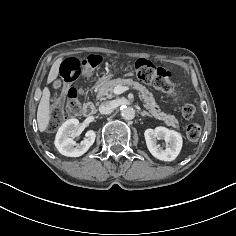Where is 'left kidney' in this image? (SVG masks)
Returning a JSON list of instances; mask_svg holds the SVG:
<instances>
[{
	"instance_id": "left-kidney-1",
	"label": "left kidney",
	"mask_w": 236,
	"mask_h": 236,
	"mask_svg": "<svg viewBox=\"0 0 236 236\" xmlns=\"http://www.w3.org/2000/svg\"><path fill=\"white\" fill-rule=\"evenodd\" d=\"M144 136L148 150L159 160L173 161L181 151L183 140L180 133L174 130L156 127L155 129H147ZM158 140L165 141V149L158 143Z\"/></svg>"
}]
</instances>
